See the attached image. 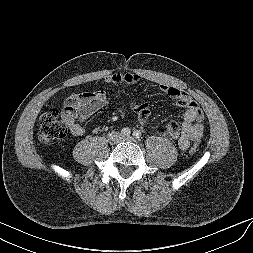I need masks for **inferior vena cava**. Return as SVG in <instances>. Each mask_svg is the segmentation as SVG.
<instances>
[{
    "mask_svg": "<svg viewBox=\"0 0 253 253\" xmlns=\"http://www.w3.org/2000/svg\"><path fill=\"white\" fill-rule=\"evenodd\" d=\"M108 139L112 142H119L121 139L120 133L119 132H111L107 135Z\"/></svg>",
    "mask_w": 253,
    "mask_h": 253,
    "instance_id": "obj_1",
    "label": "inferior vena cava"
}]
</instances>
